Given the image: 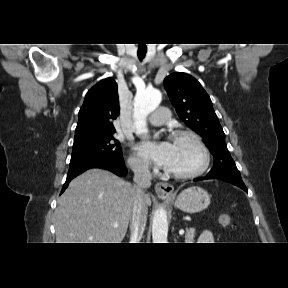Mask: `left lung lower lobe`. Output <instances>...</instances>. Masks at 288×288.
Instances as JSON below:
<instances>
[{
	"label": "left lung lower lobe",
	"instance_id": "left-lung-lower-lobe-1",
	"mask_svg": "<svg viewBox=\"0 0 288 288\" xmlns=\"http://www.w3.org/2000/svg\"><path fill=\"white\" fill-rule=\"evenodd\" d=\"M205 179H220V180H224L226 182H229L235 186H238L239 188L243 189L244 191L248 192L245 184L243 183L242 180H234V179H230V178H223V177H211L209 175H207L206 177H199V178H195L194 181H199V180H205Z\"/></svg>",
	"mask_w": 288,
	"mask_h": 288
}]
</instances>
